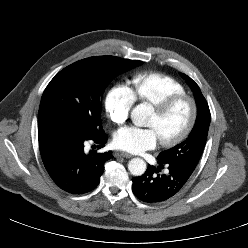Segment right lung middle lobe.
Segmentation results:
<instances>
[{
  "label": "right lung middle lobe",
  "mask_w": 248,
  "mask_h": 248,
  "mask_svg": "<svg viewBox=\"0 0 248 248\" xmlns=\"http://www.w3.org/2000/svg\"><path fill=\"white\" fill-rule=\"evenodd\" d=\"M141 61L114 56L91 57L60 71L42 95L38 132L63 130L79 136L97 134L101 126V95L111 79Z\"/></svg>",
  "instance_id": "right-lung-middle-lobe-1"
}]
</instances>
